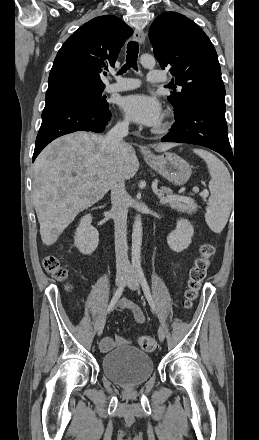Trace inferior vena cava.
Here are the masks:
<instances>
[{
	"mask_svg": "<svg viewBox=\"0 0 259 440\" xmlns=\"http://www.w3.org/2000/svg\"><path fill=\"white\" fill-rule=\"evenodd\" d=\"M129 122H118L105 136L106 142L115 155V169L110 180L111 203L115 225V253L117 271H126L129 267L127 246V193L125 180L119 169L120 160L127 143L123 138L128 135Z\"/></svg>",
	"mask_w": 259,
	"mask_h": 440,
	"instance_id": "obj_1",
	"label": "inferior vena cava"
}]
</instances>
